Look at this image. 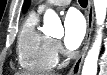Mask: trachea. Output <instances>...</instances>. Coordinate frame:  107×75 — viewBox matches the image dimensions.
<instances>
[{
	"instance_id": "obj_1",
	"label": "trachea",
	"mask_w": 107,
	"mask_h": 75,
	"mask_svg": "<svg viewBox=\"0 0 107 75\" xmlns=\"http://www.w3.org/2000/svg\"><path fill=\"white\" fill-rule=\"evenodd\" d=\"M79 4H80L82 7H86V6H87V0H79Z\"/></svg>"
}]
</instances>
